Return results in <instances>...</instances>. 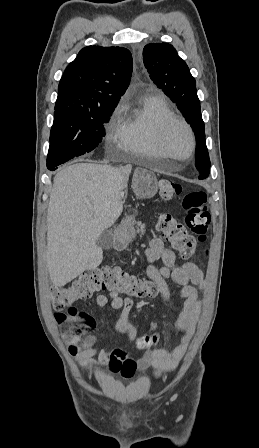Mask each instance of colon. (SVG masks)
I'll use <instances>...</instances> for the list:
<instances>
[{"instance_id": "5ec220e1", "label": "colon", "mask_w": 259, "mask_h": 448, "mask_svg": "<svg viewBox=\"0 0 259 448\" xmlns=\"http://www.w3.org/2000/svg\"><path fill=\"white\" fill-rule=\"evenodd\" d=\"M181 185L168 177L159 181L162 200L169 201L179 196ZM185 223L177 222L166 212L157 215V229L172 243L179 254L189 259L194 255L195 243L206 241L209 234L210 213L207 209V195L203 191L187 193L182 200ZM105 290L117 296L138 299L152 297L157 293L153 281L129 275L117 268H99L85 273L67 286L51 289V304L55 319L61 326L68 344H77L93 327L92 318L77 310L73 305L93 293ZM159 341L158 333L145 334L137 338V347L147 350Z\"/></svg>"}]
</instances>
